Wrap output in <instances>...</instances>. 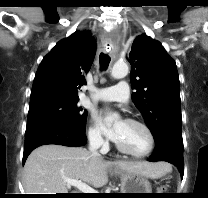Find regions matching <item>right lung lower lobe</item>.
Here are the masks:
<instances>
[{
  "mask_svg": "<svg viewBox=\"0 0 208 198\" xmlns=\"http://www.w3.org/2000/svg\"><path fill=\"white\" fill-rule=\"evenodd\" d=\"M86 141L85 132L63 122L54 121L34 125L26 128L23 164L28 155L41 145L83 146Z\"/></svg>",
  "mask_w": 208,
  "mask_h": 198,
  "instance_id": "1",
  "label": "right lung lower lobe"
}]
</instances>
